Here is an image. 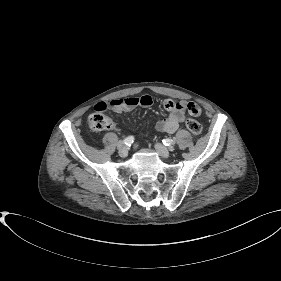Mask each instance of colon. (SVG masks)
Listing matches in <instances>:
<instances>
[{
  "mask_svg": "<svg viewBox=\"0 0 281 281\" xmlns=\"http://www.w3.org/2000/svg\"><path fill=\"white\" fill-rule=\"evenodd\" d=\"M189 110L193 113H200V107L197 104H191L189 106ZM102 111L103 110H96L89 117V126L93 131L100 132L109 130L113 126V122L110 117L105 115ZM186 128L195 137L202 134L201 124L193 118L187 119Z\"/></svg>",
  "mask_w": 281,
  "mask_h": 281,
  "instance_id": "1",
  "label": "colon"
}]
</instances>
